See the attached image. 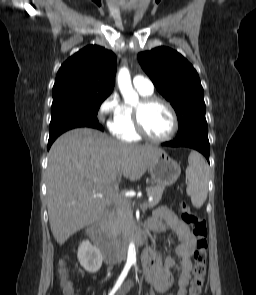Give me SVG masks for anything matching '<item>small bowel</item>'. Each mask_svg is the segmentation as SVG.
<instances>
[{
    "label": "small bowel",
    "mask_w": 256,
    "mask_h": 295,
    "mask_svg": "<svg viewBox=\"0 0 256 295\" xmlns=\"http://www.w3.org/2000/svg\"><path fill=\"white\" fill-rule=\"evenodd\" d=\"M147 226L149 231L156 234H161L168 228L177 234L180 243L176 248V254L180 258V262L177 263L170 256L162 260L158 249L153 247L147 248L142 257L143 273L146 282L157 293L167 292L175 283L173 271L176 270L178 273V289L176 293H170L169 295H187V286L192 269L191 256L195 249V237L190 228L173 211L164 206L155 210ZM133 286V283H127L118 295H127ZM91 290L92 287L88 291L90 292Z\"/></svg>",
    "instance_id": "obj_1"
}]
</instances>
